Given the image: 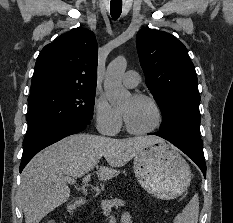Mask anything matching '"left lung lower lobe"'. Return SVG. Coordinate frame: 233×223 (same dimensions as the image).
<instances>
[{
    "label": "left lung lower lobe",
    "mask_w": 233,
    "mask_h": 223,
    "mask_svg": "<svg viewBox=\"0 0 233 223\" xmlns=\"http://www.w3.org/2000/svg\"><path fill=\"white\" fill-rule=\"evenodd\" d=\"M150 134L157 135L168 140L177 148H179L181 151H183L188 157H190L198 165L204 177H206V164L203 153V141L201 139L182 137V136H169V135L161 134L160 132H154Z\"/></svg>",
    "instance_id": "left-lung-lower-lobe-1"
}]
</instances>
